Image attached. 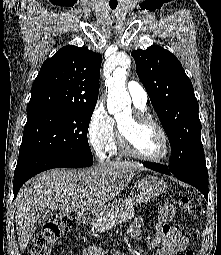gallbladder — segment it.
<instances>
[{
  "instance_id": "bac80fb5",
  "label": "gallbladder",
  "mask_w": 221,
  "mask_h": 255,
  "mask_svg": "<svg viewBox=\"0 0 221 255\" xmlns=\"http://www.w3.org/2000/svg\"><path fill=\"white\" fill-rule=\"evenodd\" d=\"M54 211L53 210H48L46 211L39 219L38 222H46L47 220H50V218L53 216Z\"/></svg>"
}]
</instances>
